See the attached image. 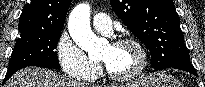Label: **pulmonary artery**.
Masks as SVG:
<instances>
[{
	"label": "pulmonary artery",
	"mask_w": 205,
	"mask_h": 87,
	"mask_svg": "<svg viewBox=\"0 0 205 87\" xmlns=\"http://www.w3.org/2000/svg\"><path fill=\"white\" fill-rule=\"evenodd\" d=\"M92 25L95 30L101 33H110L112 31V21L108 14L99 12L94 15Z\"/></svg>",
	"instance_id": "1"
}]
</instances>
